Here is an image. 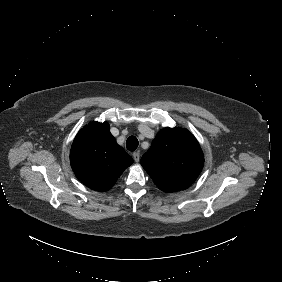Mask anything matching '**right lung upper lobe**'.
<instances>
[{
    "label": "right lung upper lobe",
    "mask_w": 282,
    "mask_h": 282,
    "mask_svg": "<svg viewBox=\"0 0 282 282\" xmlns=\"http://www.w3.org/2000/svg\"><path fill=\"white\" fill-rule=\"evenodd\" d=\"M70 163L76 177L87 187L100 192L115 184L133 159L116 143L107 122H90L75 137Z\"/></svg>",
    "instance_id": "obj_1"
}]
</instances>
